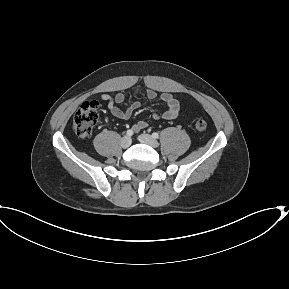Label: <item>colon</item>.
<instances>
[{
	"label": "colon",
	"instance_id": "obj_1",
	"mask_svg": "<svg viewBox=\"0 0 289 289\" xmlns=\"http://www.w3.org/2000/svg\"><path fill=\"white\" fill-rule=\"evenodd\" d=\"M99 117V103L97 101L84 102L73 118V129L78 137L88 138ZM195 128L199 132H203L207 128V122L199 119L195 123Z\"/></svg>",
	"mask_w": 289,
	"mask_h": 289
}]
</instances>
